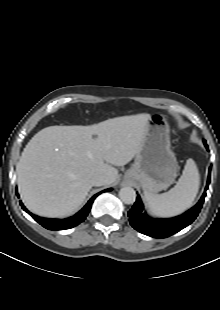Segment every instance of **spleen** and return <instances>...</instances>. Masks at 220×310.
I'll return each mask as SVG.
<instances>
[{"label":"spleen","instance_id":"3e777b00","mask_svg":"<svg viewBox=\"0 0 220 310\" xmlns=\"http://www.w3.org/2000/svg\"><path fill=\"white\" fill-rule=\"evenodd\" d=\"M200 176L195 162L188 159L176 185L168 192L152 194L144 192L145 200L152 214L172 217L188 209L199 190Z\"/></svg>","mask_w":220,"mask_h":310}]
</instances>
